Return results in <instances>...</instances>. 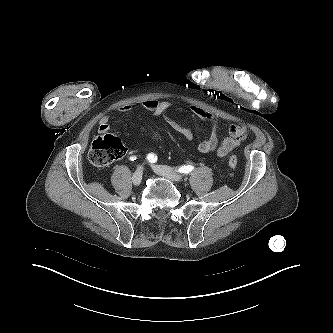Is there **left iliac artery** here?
<instances>
[{
	"mask_svg": "<svg viewBox=\"0 0 333 333\" xmlns=\"http://www.w3.org/2000/svg\"><path fill=\"white\" fill-rule=\"evenodd\" d=\"M194 169V167L192 165H184V166H181L178 171L180 173H184V174H188L190 172H192Z\"/></svg>",
	"mask_w": 333,
	"mask_h": 333,
	"instance_id": "obj_1",
	"label": "left iliac artery"
}]
</instances>
